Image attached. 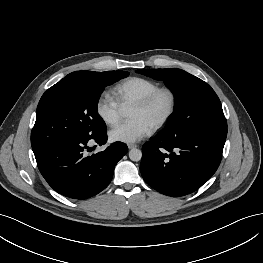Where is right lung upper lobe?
I'll use <instances>...</instances> for the list:
<instances>
[{"mask_svg":"<svg viewBox=\"0 0 263 263\" xmlns=\"http://www.w3.org/2000/svg\"><path fill=\"white\" fill-rule=\"evenodd\" d=\"M88 71H76V72H72L70 74H68V77H78V76H82L84 74H86Z\"/></svg>","mask_w":263,"mask_h":263,"instance_id":"1","label":"right lung upper lobe"}]
</instances>
